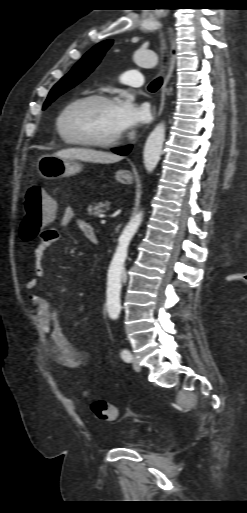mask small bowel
Listing matches in <instances>:
<instances>
[{"label":"small bowel","instance_id":"small-bowel-1","mask_svg":"<svg viewBox=\"0 0 247 513\" xmlns=\"http://www.w3.org/2000/svg\"><path fill=\"white\" fill-rule=\"evenodd\" d=\"M74 223L80 232L88 239L95 233L93 227L86 221L76 218L75 210L66 207L60 218L61 226ZM61 238L56 228L47 227L39 235V244L34 249V276L25 282V288L30 292V302L35 311V317L44 334L49 338L47 351L50 358L58 365L67 368L81 369L89 362V352L75 348L64 333L57 309L44 296L34 293L44 276V256L46 250ZM89 240V239H88Z\"/></svg>","mask_w":247,"mask_h":513}]
</instances>
